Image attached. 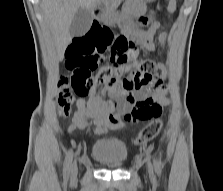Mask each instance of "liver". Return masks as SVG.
<instances>
[{
	"label": "liver",
	"mask_w": 223,
	"mask_h": 191,
	"mask_svg": "<svg viewBox=\"0 0 223 191\" xmlns=\"http://www.w3.org/2000/svg\"><path fill=\"white\" fill-rule=\"evenodd\" d=\"M105 0H42L41 7L50 24L55 39L58 58L61 61L64 51L71 43L69 28L79 8L94 9Z\"/></svg>",
	"instance_id": "liver-1"
}]
</instances>
